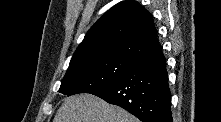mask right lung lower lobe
<instances>
[{
  "mask_svg": "<svg viewBox=\"0 0 221 122\" xmlns=\"http://www.w3.org/2000/svg\"><path fill=\"white\" fill-rule=\"evenodd\" d=\"M91 94L142 122H172L166 59L159 44L137 58L121 78Z\"/></svg>",
  "mask_w": 221,
  "mask_h": 122,
  "instance_id": "obj_1",
  "label": "right lung lower lobe"
}]
</instances>
